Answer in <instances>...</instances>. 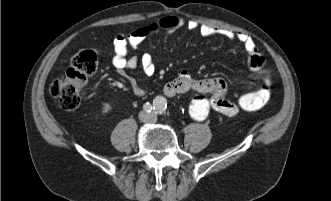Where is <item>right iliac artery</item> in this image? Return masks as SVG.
Masks as SVG:
<instances>
[{"label":"right iliac artery","mask_w":331,"mask_h":201,"mask_svg":"<svg viewBox=\"0 0 331 201\" xmlns=\"http://www.w3.org/2000/svg\"><path fill=\"white\" fill-rule=\"evenodd\" d=\"M143 109H144L146 112H151V111H153L154 106H152L150 103L147 102V103L144 104Z\"/></svg>","instance_id":"1"}]
</instances>
